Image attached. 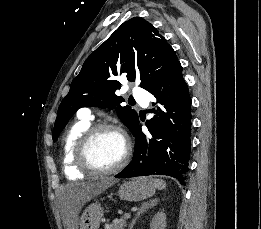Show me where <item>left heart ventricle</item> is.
<instances>
[{
    "mask_svg": "<svg viewBox=\"0 0 261 229\" xmlns=\"http://www.w3.org/2000/svg\"><path fill=\"white\" fill-rule=\"evenodd\" d=\"M124 152L125 144L122 137L112 131H103L95 138L90 155L97 166L107 169L117 165Z\"/></svg>",
    "mask_w": 261,
    "mask_h": 229,
    "instance_id": "1",
    "label": "left heart ventricle"
}]
</instances>
